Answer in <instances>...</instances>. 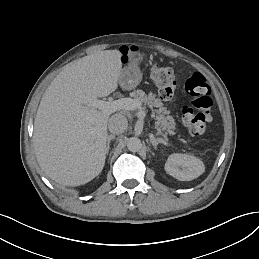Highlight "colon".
Masks as SVG:
<instances>
[{"instance_id": "obj_1", "label": "colon", "mask_w": 259, "mask_h": 259, "mask_svg": "<svg viewBox=\"0 0 259 259\" xmlns=\"http://www.w3.org/2000/svg\"><path fill=\"white\" fill-rule=\"evenodd\" d=\"M150 76L163 99L173 97L176 80L172 68L156 64L151 67ZM185 91L191 105L181 109V121L192 135H202L212 120L211 89L205 76L193 73L185 82Z\"/></svg>"}]
</instances>
